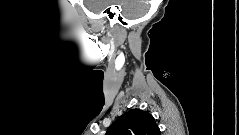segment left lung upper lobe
Returning a JSON list of instances; mask_svg holds the SVG:
<instances>
[{
  "label": "left lung upper lobe",
  "mask_w": 239,
  "mask_h": 135,
  "mask_svg": "<svg viewBox=\"0 0 239 135\" xmlns=\"http://www.w3.org/2000/svg\"><path fill=\"white\" fill-rule=\"evenodd\" d=\"M106 135H160V129L149 112L131 109L110 126Z\"/></svg>",
  "instance_id": "5c2ea615"
}]
</instances>
